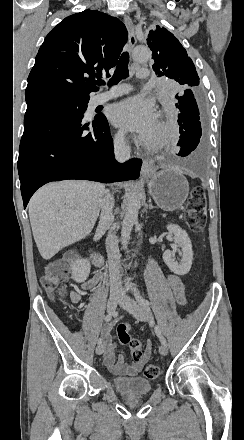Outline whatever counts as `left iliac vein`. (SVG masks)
Masks as SVG:
<instances>
[{"mask_svg":"<svg viewBox=\"0 0 244 440\" xmlns=\"http://www.w3.org/2000/svg\"><path fill=\"white\" fill-rule=\"evenodd\" d=\"M120 306L123 307L125 310L130 312L135 318L138 320L145 322L150 320L149 313L147 310L139 305L136 301H134L132 298L124 295L120 299ZM159 352L161 355H167L168 348L166 345L161 344L159 346Z\"/></svg>","mask_w":244,"mask_h":440,"instance_id":"left-iliac-vein-1","label":"left iliac vein"}]
</instances>
